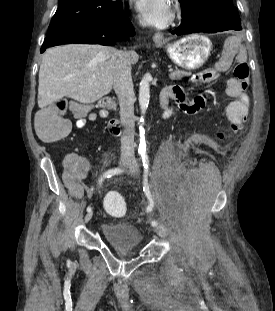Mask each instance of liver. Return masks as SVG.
I'll use <instances>...</instances> for the list:
<instances>
[{
  "mask_svg": "<svg viewBox=\"0 0 275 311\" xmlns=\"http://www.w3.org/2000/svg\"><path fill=\"white\" fill-rule=\"evenodd\" d=\"M101 45L69 44L48 49L39 70L38 106L44 109L63 97L91 104L109 94L114 81L111 55ZM131 64L139 55L129 52Z\"/></svg>",
  "mask_w": 275,
  "mask_h": 311,
  "instance_id": "1",
  "label": "liver"
}]
</instances>
